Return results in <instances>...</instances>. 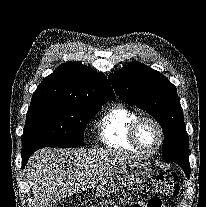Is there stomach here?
<instances>
[{
    "label": "stomach",
    "mask_w": 206,
    "mask_h": 207,
    "mask_svg": "<svg viewBox=\"0 0 206 207\" xmlns=\"http://www.w3.org/2000/svg\"><path fill=\"white\" fill-rule=\"evenodd\" d=\"M152 174L151 162L146 158H138L101 181L96 192L101 196L109 195L127 186L144 183Z\"/></svg>",
    "instance_id": "obj_1"
}]
</instances>
